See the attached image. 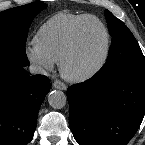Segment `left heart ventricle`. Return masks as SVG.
I'll list each match as a JSON object with an SVG mask.
<instances>
[{"label": "left heart ventricle", "instance_id": "1", "mask_svg": "<svg viewBox=\"0 0 145 145\" xmlns=\"http://www.w3.org/2000/svg\"><path fill=\"white\" fill-rule=\"evenodd\" d=\"M105 35L102 27L89 21L81 31V45L71 62L73 71H82L95 64L104 50Z\"/></svg>", "mask_w": 145, "mask_h": 145}]
</instances>
